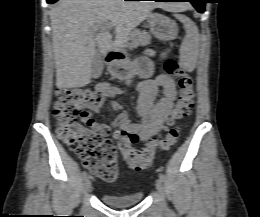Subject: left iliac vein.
Returning <instances> with one entry per match:
<instances>
[{
    "label": "left iliac vein",
    "mask_w": 260,
    "mask_h": 217,
    "mask_svg": "<svg viewBox=\"0 0 260 217\" xmlns=\"http://www.w3.org/2000/svg\"><path fill=\"white\" fill-rule=\"evenodd\" d=\"M156 189L159 192L161 198H163L164 186H163V182L160 180V178L156 180Z\"/></svg>",
    "instance_id": "obj_1"
}]
</instances>
